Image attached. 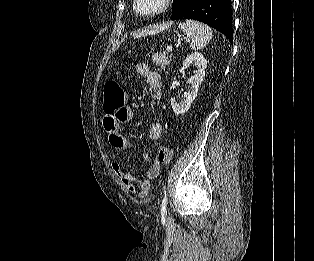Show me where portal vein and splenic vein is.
<instances>
[{
	"instance_id": "18ae733b",
	"label": "portal vein and splenic vein",
	"mask_w": 314,
	"mask_h": 261,
	"mask_svg": "<svg viewBox=\"0 0 314 261\" xmlns=\"http://www.w3.org/2000/svg\"><path fill=\"white\" fill-rule=\"evenodd\" d=\"M167 51L171 52L172 51V47L168 46L167 47Z\"/></svg>"
}]
</instances>
